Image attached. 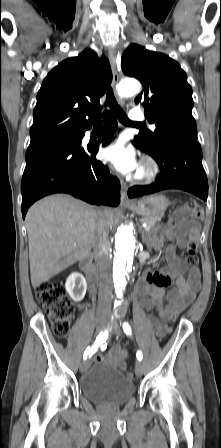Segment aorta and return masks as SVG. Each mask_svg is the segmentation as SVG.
<instances>
[{"instance_id": "aorta-1", "label": "aorta", "mask_w": 221, "mask_h": 448, "mask_svg": "<svg viewBox=\"0 0 221 448\" xmlns=\"http://www.w3.org/2000/svg\"><path fill=\"white\" fill-rule=\"evenodd\" d=\"M140 83L134 79H126L118 86L119 95L127 97L134 95L140 89ZM135 253L133 231L128 226H122L115 235V257L113 262V283L117 298H121L126 286L128 274L132 270Z\"/></svg>"}]
</instances>
